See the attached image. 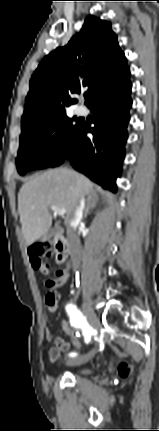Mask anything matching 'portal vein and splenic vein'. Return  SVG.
Returning a JSON list of instances; mask_svg holds the SVG:
<instances>
[{"instance_id":"18ae733b","label":"portal vein and splenic vein","mask_w":159,"mask_h":431,"mask_svg":"<svg viewBox=\"0 0 159 431\" xmlns=\"http://www.w3.org/2000/svg\"><path fill=\"white\" fill-rule=\"evenodd\" d=\"M50 208H51V210L55 213V214H57V215H59V216H64L65 215V213H66V210L65 209H62V208H58V207H56V206H50Z\"/></svg>"}]
</instances>
